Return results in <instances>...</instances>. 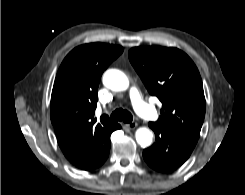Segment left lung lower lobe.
Masks as SVG:
<instances>
[{"label":"left lung lower lobe","mask_w":245,"mask_h":195,"mask_svg":"<svg viewBox=\"0 0 245 195\" xmlns=\"http://www.w3.org/2000/svg\"><path fill=\"white\" fill-rule=\"evenodd\" d=\"M149 126L155 132L156 143L143 151L146 163L159 172H172L192 153L198 139L172 128Z\"/></svg>","instance_id":"0a47b994"}]
</instances>
